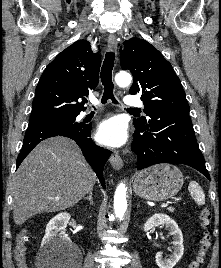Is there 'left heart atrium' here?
<instances>
[{"label": "left heart atrium", "instance_id": "1", "mask_svg": "<svg viewBox=\"0 0 221 268\" xmlns=\"http://www.w3.org/2000/svg\"><path fill=\"white\" fill-rule=\"evenodd\" d=\"M127 137L126 125L119 117H111L102 121L96 132L97 141L109 147L122 146Z\"/></svg>", "mask_w": 221, "mask_h": 268}]
</instances>
